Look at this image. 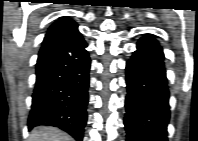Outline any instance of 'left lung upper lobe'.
Masks as SVG:
<instances>
[{
    "label": "left lung upper lobe",
    "mask_w": 198,
    "mask_h": 141,
    "mask_svg": "<svg viewBox=\"0 0 198 141\" xmlns=\"http://www.w3.org/2000/svg\"><path fill=\"white\" fill-rule=\"evenodd\" d=\"M141 103H142V105H143V107H142L143 109L148 110V109L150 108V103H149L148 100L142 99V100H141Z\"/></svg>",
    "instance_id": "5c2ea615"
}]
</instances>
